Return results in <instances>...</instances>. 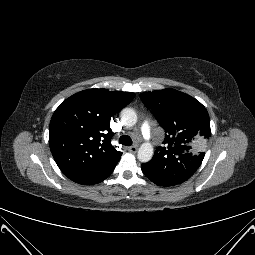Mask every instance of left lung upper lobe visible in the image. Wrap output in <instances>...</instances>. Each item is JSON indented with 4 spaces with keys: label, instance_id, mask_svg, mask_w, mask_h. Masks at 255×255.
<instances>
[{
    "label": "left lung upper lobe",
    "instance_id": "1",
    "mask_svg": "<svg viewBox=\"0 0 255 255\" xmlns=\"http://www.w3.org/2000/svg\"><path fill=\"white\" fill-rule=\"evenodd\" d=\"M165 129L164 146L142 169L155 179L181 184L200 167L208 139L210 119L205 107L193 97L168 88L140 95Z\"/></svg>",
    "mask_w": 255,
    "mask_h": 255
}]
</instances>
